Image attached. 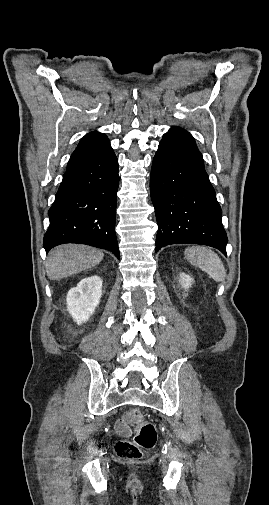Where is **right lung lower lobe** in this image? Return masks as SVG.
I'll return each mask as SVG.
<instances>
[{
    "label": "right lung lower lobe",
    "mask_w": 269,
    "mask_h": 505,
    "mask_svg": "<svg viewBox=\"0 0 269 505\" xmlns=\"http://www.w3.org/2000/svg\"><path fill=\"white\" fill-rule=\"evenodd\" d=\"M118 186V162L109 142L70 159L48 212L46 252L60 244L79 243L109 250L120 259L115 234Z\"/></svg>",
    "instance_id": "1"
}]
</instances>
